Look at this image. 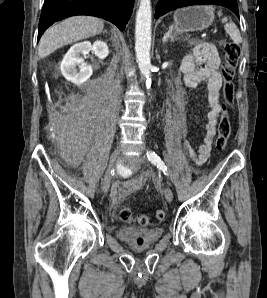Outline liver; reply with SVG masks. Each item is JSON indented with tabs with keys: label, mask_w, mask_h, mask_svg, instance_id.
Returning <instances> with one entry per match:
<instances>
[{
	"label": "liver",
	"mask_w": 267,
	"mask_h": 298,
	"mask_svg": "<svg viewBox=\"0 0 267 298\" xmlns=\"http://www.w3.org/2000/svg\"><path fill=\"white\" fill-rule=\"evenodd\" d=\"M102 20L91 16H75L47 29L39 42L38 55L43 59L55 50L103 32Z\"/></svg>",
	"instance_id": "1"
}]
</instances>
